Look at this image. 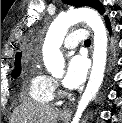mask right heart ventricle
<instances>
[{
    "label": "right heart ventricle",
    "mask_w": 122,
    "mask_h": 123,
    "mask_svg": "<svg viewBox=\"0 0 122 123\" xmlns=\"http://www.w3.org/2000/svg\"><path fill=\"white\" fill-rule=\"evenodd\" d=\"M53 80L38 69H33L28 83L30 98L38 103H49L54 97Z\"/></svg>",
    "instance_id": "obj_1"
}]
</instances>
